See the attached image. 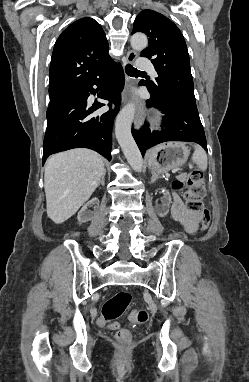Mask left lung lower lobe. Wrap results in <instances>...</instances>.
<instances>
[{
	"mask_svg": "<svg viewBox=\"0 0 249 382\" xmlns=\"http://www.w3.org/2000/svg\"><path fill=\"white\" fill-rule=\"evenodd\" d=\"M149 92L151 101L147 100V105L154 106L166 114L163 117L165 129L153 132L148 127L132 129V135L142 156L148 148L166 141L195 142L207 150L205 133L196 105L178 100L167 101L154 92Z\"/></svg>",
	"mask_w": 249,
	"mask_h": 382,
	"instance_id": "1",
	"label": "left lung lower lobe"
}]
</instances>
